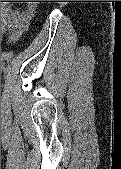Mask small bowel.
<instances>
[{"instance_id": "c3829d8e", "label": "small bowel", "mask_w": 121, "mask_h": 169, "mask_svg": "<svg viewBox=\"0 0 121 169\" xmlns=\"http://www.w3.org/2000/svg\"><path fill=\"white\" fill-rule=\"evenodd\" d=\"M35 15V10L29 7L22 11L5 12V29L8 32L7 42H17L27 32L30 22Z\"/></svg>"}]
</instances>
